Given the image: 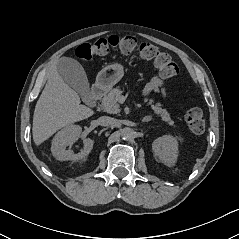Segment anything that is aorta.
Listing matches in <instances>:
<instances>
[{
  "label": "aorta",
  "instance_id": "762f6f07",
  "mask_svg": "<svg viewBox=\"0 0 239 239\" xmlns=\"http://www.w3.org/2000/svg\"><path fill=\"white\" fill-rule=\"evenodd\" d=\"M135 132L132 128L125 127L121 130V136L124 140H131L134 138Z\"/></svg>",
  "mask_w": 239,
  "mask_h": 239
}]
</instances>
